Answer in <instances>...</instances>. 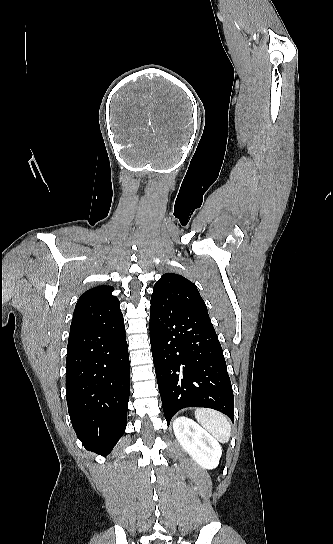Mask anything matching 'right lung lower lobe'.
Returning <instances> with one entry per match:
<instances>
[{"label": "right lung lower lobe", "instance_id": "obj_1", "mask_svg": "<svg viewBox=\"0 0 333 544\" xmlns=\"http://www.w3.org/2000/svg\"><path fill=\"white\" fill-rule=\"evenodd\" d=\"M129 372L121 312L70 330L66 359L68 412L87 450L109 453L123 435Z\"/></svg>", "mask_w": 333, "mask_h": 544}]
</instances>
